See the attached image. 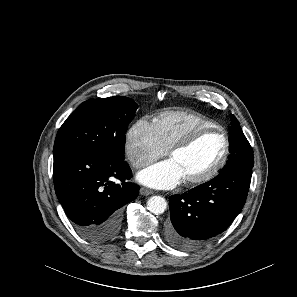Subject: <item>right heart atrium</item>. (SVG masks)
I'll return each instance as SVG.
<instances>
[{
	"mask_svg": "<svg viewBox=\"0 0 297 297\" xmlns=\"http://www.w3.org/2000/svg\"><path fill=\"white\" fill-rule=\"evenodd\" d=\"M124 151L134 168L145 167L167 154L156 136L153 123L144 119L136 121L127 130Z\"/></svg>",
	"mask_w": 297,
	"mask_h": 297,
	"instance_id": "1",
	"label": "right heart atrium"
}]
</instances>
